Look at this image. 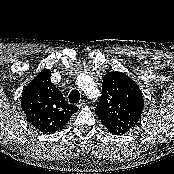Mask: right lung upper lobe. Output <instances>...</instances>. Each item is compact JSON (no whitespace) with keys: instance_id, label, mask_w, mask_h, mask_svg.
<instances>
[{"instance_id":"cb5924a9","label":"right lung upper lobe","mask_w":174,"mask_h":174,"mask_svg":"<svg viewBox=\"0 0 174 174\" xmlns=\"http://www.w3.org/2000/svg\"><path fill=\"white\" fill-rule=\"evenodd\" d=\"M51 71L44 69L28 84L21 97V106L27 120L42 133L62 129L77 106L65 102L62 93L50 80Z\"/></svg>"}]
</instances>
